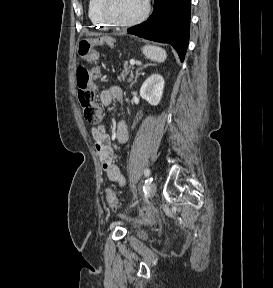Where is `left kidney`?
<instances>
[{
	"label": "left kidney",
	"mask_w": 273,
	"mask_h": 288,
	"mask_svg": "<svg viewBox=\"0 0 273 288\" xmlns=\"http://www.w3.org/2000/svg\"><path fill=\"white\" fill-rule=\"evenodd\" d=\"M164 84L165 82L161 75H151L142 84L140 88V96L148 101L151 105L156 106L161 101Z\"/></svg>",
	"instance_id": "1"
}]
</instances>
